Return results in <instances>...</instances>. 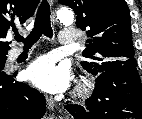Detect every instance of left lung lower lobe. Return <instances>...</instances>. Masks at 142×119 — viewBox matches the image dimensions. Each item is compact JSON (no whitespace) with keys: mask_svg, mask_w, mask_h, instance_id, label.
I'll list each match as a JSON object with an SVG mask.
<instances>
[{"mask_svg":"<svg viewBox=\"0 0 142 119\" xmlns=\"http://www.w3.org/2000/svg\"><path fill=\"white\" fill-rule=\"evenodd\" d=\"M135 65H124L97 75L87 107L68 105L74 119H142V85Z\"/></svg>","mask_w":142,"mask_h":119,"instance_id":"0a47b994","label":"left lung lower lobe"}]
</instances>
